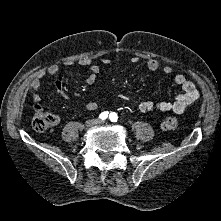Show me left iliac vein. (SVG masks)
<instances>
[{"label":"left iliac vein","instance_id":"1","mask_svg":"<svg viewBox=\"0 0 221 221\" xmlns=\"http://www.w3.org/2000/svg\"><path fill=\"white\" fill-rule=\"evenodd\" d=\"M96 124H104V122L100 121V120H97V123Z\"/></svg>","mask_w":221,"mask_h":221}]
</instances>
